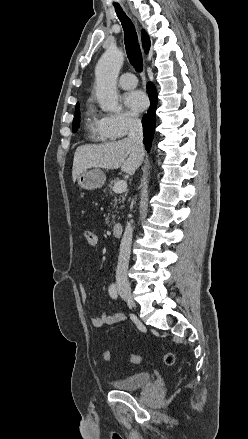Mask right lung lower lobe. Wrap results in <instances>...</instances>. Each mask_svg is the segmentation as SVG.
Returning <instances> with one entry per match:
<instances>
[{
    "label": "right lung lower lobe",
    "instance_id": "right-lung-lower-lobe-1",
    "mask_svg": "<svg viewBox=\"0 0 248 439\" xmlns=\"http://www.w3.org/2000/svg\"><path fill=\"white\" fill-rule=\"evenodd\" d=\"M147 91L151 105L147 113L142 118V125H143V134H144L143 143L145 145L146 150L149 151L154 136L155 123H156L155 111L157 107V92L155 86L152 83H148Z\"/></svg>",
    "mask_w": 248,
    "mask_h": 439
}]
</instances>
